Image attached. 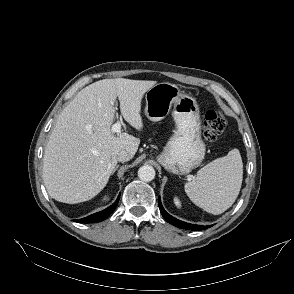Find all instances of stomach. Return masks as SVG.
<instances>
[{"label":"stomach","mask_w":294,"mask_h":294,"mask_svg":"<svg viewBox=\"0 0 294 294\" xmlns=\"http://www.w3.org/2000/svg\"><path fill=\"white\" fill-rule=\"evenodd\" d=\"M145 116L151 121L164 119L173 106L176 129L163 152L159 163L174 174H187L199 166L205 155L201 139V121L196 99L185 95L175 84L162 82L145 94Z\"/></svg>","instance_id":"obj_1"}]
</instances>
